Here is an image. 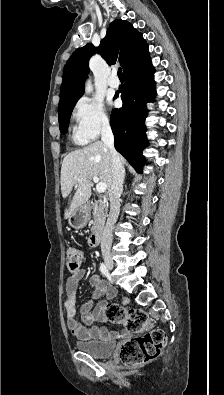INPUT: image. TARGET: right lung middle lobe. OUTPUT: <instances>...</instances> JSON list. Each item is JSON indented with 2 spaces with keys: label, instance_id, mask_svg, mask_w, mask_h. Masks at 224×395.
Listing matches in <instances>:
<instances>
[{
  "label": "right lung middle lobe",
  "instance_id": "dd1d6c3e",
  "mask_svg": "<svg viewBox=\"0 0 224 395\" xmlns=\"http://www.w3.org/2000/svg\"><path fill=\"white\" fill-rule=\"evenodd\" d=\"M81 97L78 96L75 99H73L68 105H66L63 108L58 109V116H59V128L62 134L67 132L68 129V124H69V119L72 113V110L78 101V99Z\"/></svg>",
  "mask_w": 224,
  "mask_h": 395
}]
</instances>
